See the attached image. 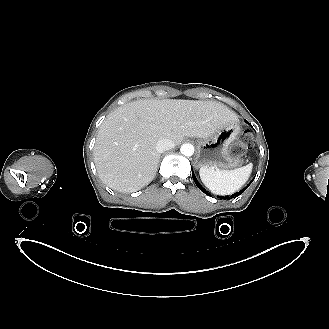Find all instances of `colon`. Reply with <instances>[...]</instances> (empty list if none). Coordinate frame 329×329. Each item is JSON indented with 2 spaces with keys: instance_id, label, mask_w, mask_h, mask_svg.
Masks as SVG:
<instances>
[{
  "instance_id": "1",
  "label": "colon",
  "mask_w": 329,
  "mask_h": 329,
  "mask_svg": "<svg viewBox=\"0 0 329 329\" xmlns=\"http://www.w3.org/2000/svg\"><path fill=\"white\" fill-rule=\"evenodd\" d=\"M240 146L244 148H249L253 145V136L250 132H244L240 137Z\"/></svg>"
}]
</instances>
